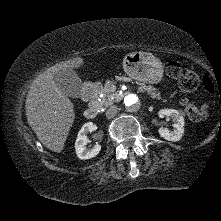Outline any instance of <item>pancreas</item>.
Segmentation results:
<instances>
[{"mask_svg":"<svg viewBox=\"0 0 221 221\" xmlns=\"http://www.w3.org/2000/svg\"><path fill=\"white\" fill-rule=\"evenodd\" d=\"M120 80L123 81H130L129 78L121 77ZM115 85L113 81L108 80L105 85L104 89L101 91L103 94V97L101 98V101L99 102V107H108L112 104L113 98H114V91H115ZM140 91L146 92L148 95H150L151 98H156L158 100H161V93L157 92V90L152 86H147L145 84H140ZM166 101V100H165Z\"/></svg>","mask_w":221,"mask_h":221,"instance_id":"1","label":"pancreas"}]
</instances>
